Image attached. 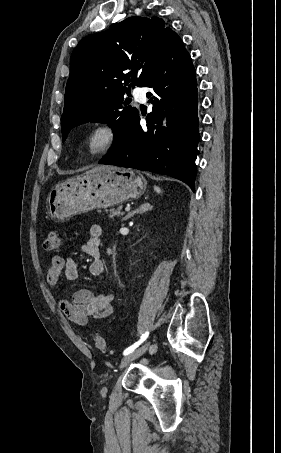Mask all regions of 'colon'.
Returning <instances> with one entry per match:
<instances>
[{"instance_id": "1", "label": "colon", "mask_w": 281, "mask_h": 453, "mask_svg": "<svg viewBox=\"0 0 281 453\" xmlns=\"http://www.w3.org/2000/svg\"><path fill=\"white\" fill-rule=\"evenodd\" d=\"M46 252H59L61 250V230H51L44 242ZM93 346L98 351H105L108 348V341L105 337L96 335Z\"/></svg>"}]
</instances>
